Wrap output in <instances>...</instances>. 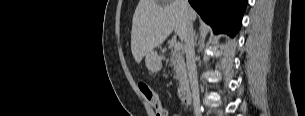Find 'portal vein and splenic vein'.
Wrapping results in <instances>:
<instances>
[{"label": "portal vein and splenic vein", "mask_w": 305, "mask_h": 116, "mask_svg": "<svg viewBox=\"0 0 305 116\" xmlns=\"http://www.w3.org/2000/svg\"><path fill=\"white\" fill-rule=\"evenodd\" d=\"M181 47H182V45L179 42H175V44H174L175 49H180Z\"/></svg>", "instance_id": "18ae733b"}]
</instances>
